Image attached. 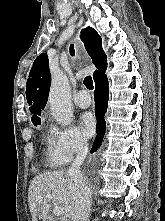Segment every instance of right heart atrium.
<instances>
[{"mask_svg":"<svg viewBox=\"0 0 165 221\" xmlns=\"http://www.w3.org/2000/svg\"><path fill=\"white\" fill-rule=\"evenodd\" d=\"M49 153L58 161L67 163L88 148V141L76 127L52 125L49 130Z\"/></svg>","mask_w":165,"mask_h":221,"instance_id":"right-heart-atrium-1","label":"right heart atrium"}]
</instances>
